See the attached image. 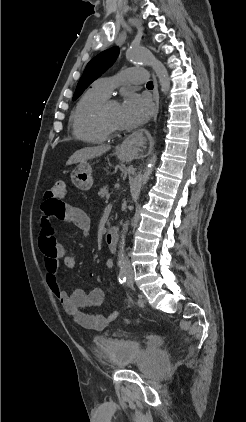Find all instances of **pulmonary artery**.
<instances>
[{
    "mask_svg": "<svg viewBox=\"0 0 246 422\" xmlns=\"http://www.w3.org/2000/svg\"><path fill=\"white\" fill-rule=\"evenodd\" d=\"M120 81L142 84L147 81V72L142 68H128L119 79L100 78L94 83V86L109 96Z\"/></svg>",
    "mask_w": 246,
    "mask_h": 422,
    "instance_id": "e3ab8cb5",
    "label": "pulmonary artery"
}]
</instances>
